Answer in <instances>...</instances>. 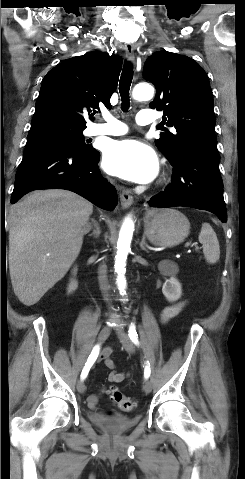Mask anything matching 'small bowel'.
<instances>
[{"label":"small bowel","mask_w":245,"mask_h":479,"mask_svg":"<svg viewBox=\"0 0 245 479\" xmlns=\"http://www.w3.org/2000/svg\"><path fill=\"white\" fill-rule=\"evenodd\" d=\"M186 302H179L177 304L171 305V306H166L164 308H161L159 310V316L163 322H167L170 319L174 318L177 316L182 309L185 307ZM111 356V350L110 349H105L102 351L100 355V359L103 360L109 368L112 369L111 373L108 376V381L110 383H121L123 382L127 377H129V374H125L123 372H119L114 370V363L110 359ZM98 398L96 395H90L88 397V405L91 408H95L97 406Z\"/></svg>","instance_id":"c3829d8e"}]
</instances>
